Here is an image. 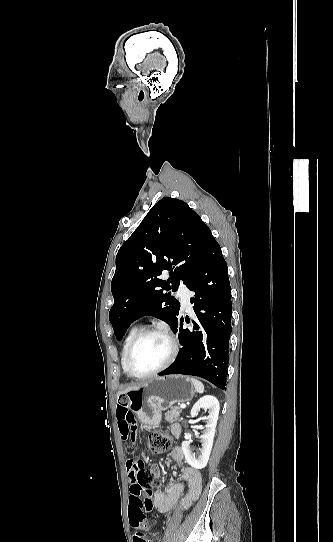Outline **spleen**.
Returning a JSON list of instances; mask_svg holds the SVG:
<instances>
[{
	"label": "spleen",
	"instance_id": "obj_1",
	"mask_svg": "<svg viewBox=\"0 0 333 542\" xmlns=\"http://www.w3.org/2000/svg\"><path fill=\"white\" fill-rule=\"evenodd\" d=\"M196 392H199V394H203L204 392V386L202 382H199V380H195V378H190Z\"/></svg>",
	"mask_w": 333,
	"mask_h": 542
}]
</instances>
